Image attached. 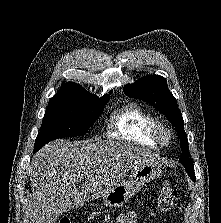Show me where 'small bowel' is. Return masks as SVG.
<instances>
[{
    "mask_svg": "<svg viewBox=\"0 0 221 223\" xmlns=\"http://www.w3.org/2000/svg\"><path fill=\"white\" fill-rule=\"evenodd\" d=\"M137 213H129L121 216L116 223H136Z\"/></svg>",
    "mask_w": 221,
    "mask_h": 223,
    "instance_id": "c3829d8e",
    "label": "small bowel"
}]
</instances>
